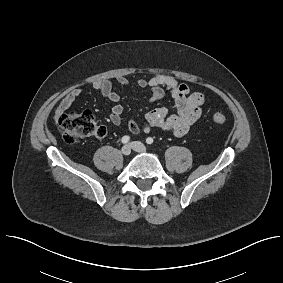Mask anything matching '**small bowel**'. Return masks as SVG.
<instances>
[{
	"instance_id": "obj_1",
	"label": "small bowel",
	"mask_w": 283,
	"mask_h": 283,
	"mask_svg": "<svg viewBox=\"0 0 283 283\" xmlns=\"http://www.w3.org/2000/svg\"><path fill=\"white\" fill-rule=\"evenodd\" d=\"M117 82L122 87L128 85V80L125 77H118ZM137 85L139 88L149 89L148 102H156L162 99L166 92H169L174 101L176 113L169 114L166 107L153 108L146 113V122L143 125L140 126L135 120L128 122L131 133H149L152 129H159L174 136H183L189 132L191 126L200 118L201 107L205 101L204 95L193 91L189 85L179 82L174 77L161 74L155 75L150 79H139ZM93 88L111 102L112 108L109 121L114 125H119L122 121L124 109L120 104V96L114 90L113 84L110 81H98L93 84ZM81 94L82 90L79 88L67 94L59 103L55 112L56 116L68 110Z\"/></svg>"
}]
</instances>
